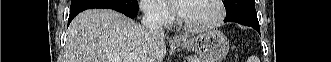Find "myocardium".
I'll return each instance as SVG.
<instances>
[{
  "instance_id": "obj_1",
  "label": "myocardium",
  "mask_w": 331,
  "mask_h": 62,
  "mask_svg": "<svg viewBox=\"0 0 331 62\" xmlns=\"http://www.w3.org/2000/svg\"><path fill=\"white\" fill-rule=\"evenodd\" d=\"M214 2V4L216 5V8L218 10V14L217 16L214 18V20H212L209 23H205V24H190L188 22H186L181 14H179L178 16V22L179 24L192 32H201V31H208V30H212L217 28L218 26H220V24L224 21L225 16H226V11H225V7H224V3L221 0H212Z\"/></svg>"
}]
</instances>
